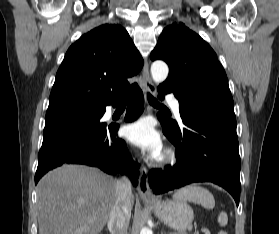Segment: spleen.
<instances>
[{"label":"spleen","mask_w":279,"mask_h":234,"mask_svg":"<svg viewBox=\"0 0 279 234\" xmlns=\"http://www.w3.org/2000/svg\"><path fill=\"white\" fill-rule=\"evenodd\" d=\"M174 199L181 201H190L200 204L206 209H213L215 200L213 195L205 188L196 185H190L177 191L173 196ZM218 223L221 226H226L228 223V216L225 212H220L218 215ZM218 234H227L220 231Z\"/></svg>","instance_id":"3e777b00"}]
</instances>
